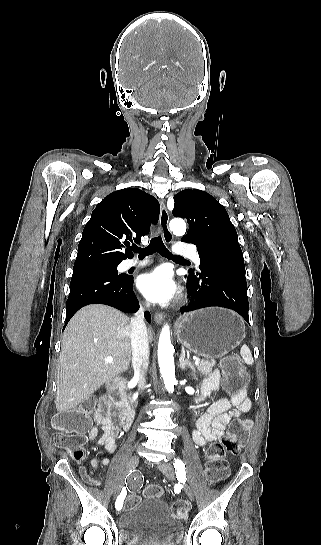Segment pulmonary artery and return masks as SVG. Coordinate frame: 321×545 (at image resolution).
I'll return each instance as SVG.
<instances>
[{"instance_id": "obj_1", "label": "pulmonary artery", "mask_w": 321, "mask_h": 545, "mask_svg": "<svg viewBox=\"0 0 321 545\" xmlns=\"http://www.w3.org/2000/svg\"><path fill=\"white\" fill-rule=\"evenodd\" d=\"M172 253L176 257H191L195 263H200L199 255L195 253L194 247L187 246V243L185 241H178L173 248ZM147 264L148 261L135 262L131 260H126L119 265V268L122 270H128L132 267L143 268Z\"/></svg>"}]
</instances>
